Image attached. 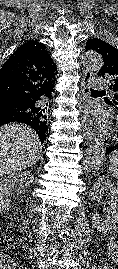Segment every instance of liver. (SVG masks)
I'll list each match as a JSON object with an SVG mask.
<instances>
[{
    "instance_id": "liver-1",
    "label": "liver",
    "mask_w": 118,
    "mask_h": 269,
    "mask_svg": "<svg viewBox=\"0 0 118 269\" xmlns=\"http://www.w3.org/2000/svg\"><path fill=\"white\" fill-rule=\"evenodd\" d=\"M42 145L38 135L21 123L0 128V177L19 172L38 162Z\"/></svg>"
}]
</instances>
